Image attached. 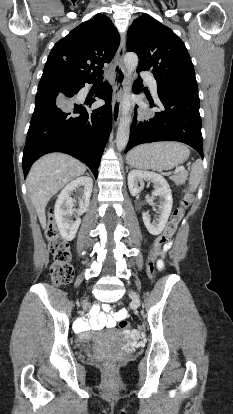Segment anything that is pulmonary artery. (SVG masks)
I'll list each match as a JSON object with an SVG mask.
<instances>
[{"label": "pulmonary artery", "instance_id": "e3ab8cb5", "mask_svg": "<svg viewBox=\"0 0 233 414\" xmlns=\"http://www.w3.org/2000/svg\"><path fill=\"white\" fill-rule=\"evenodd\" d=\"M141 75L148 82L151 91L154 94H156L157 93V82H156V80L147 72H142Z\"/></svg>", "mask_w": 233, "mask_h": 414}]
</instances>
